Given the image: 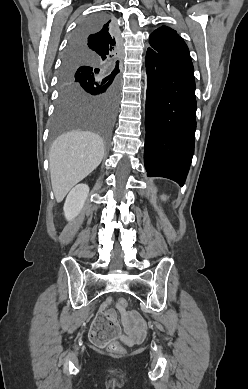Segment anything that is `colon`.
I'll use <instances>...</instances> for the list:
<instances>
[{
    "label": "colon",
    "mask_w": 248,
    "mask_h": 389,
    "mask_svg": "<svg viewBox=\"0 0 248 389\" xmlns=\"http://www.w3.org/2000/svg\"><path fill=\"white\" fill-rule=\"evenodd\" d=\"M118 306L125 309L128 306V301L124 298L118 300ZM93 317L95 322L91 323L90 337L94 341L93 345L104 348L107 344V350L112 355H120L124 352L123 345L118 341L110 342V337H121L122 332L118 329L116 318H109L105 311H94Z\"/></svg>",
    "instance_id": "colon-1"
}]
</instances>
